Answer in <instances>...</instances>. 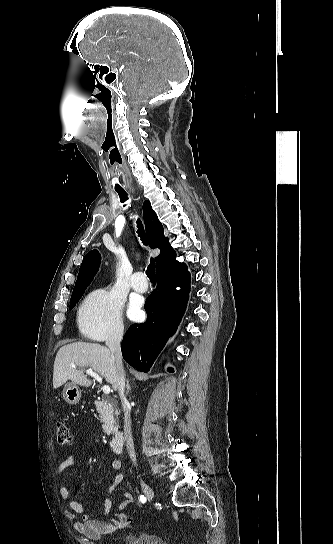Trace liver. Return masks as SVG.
<instances>
[{
    "mask_svg": "<svg viewBox=\"0 0 333 544\" xmlns=\"http://www.w3.org/2000/svg\"><path fill=\"white\" fill-rule=\"evenodd\" d=\"M72 363L79 369L72 367ZM86 367L101 374L115 391L118 389L117 367L110 349L88 342L70 343L58 350L54 361L53 388H59L67 380L80 386H91L92 380L84 373Z\"/></svg>",
    "mask_w": 333,
    "mask_h": 544,
    "instance_id": "1",
    "label": "liver"
}]
</instances>
